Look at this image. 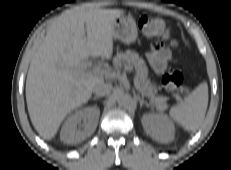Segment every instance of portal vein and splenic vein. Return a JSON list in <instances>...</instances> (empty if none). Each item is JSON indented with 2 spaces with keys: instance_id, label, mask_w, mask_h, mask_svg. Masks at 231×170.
Listing matches in <instances>:
<instances>
[{
  "instance_id": "18ae733b",
  "label": "portal vein and splenic vein",
  "mask_w": 231,
  "mask_h": 170,
  "mask_svg": "<svg viewBox=\"0 0 231 170\" xmlns=\"http://www.w3.org/2000/svg\"><path fill=\"white\" fill-rule=\"evenodd\" d=\"M91 66H92V61H86V62L84 63V65H83V68H84V69H87V68H89V67H91ZM125 69L128 70V71H133V68H132L131 66H126ZM97 71H98V72H102L100 69H97ZM134 84H135V87H136L137 89H139V90L142 92L143 95L147 96V94L144 93V92L141 90L140 85H139V82H138V79H137L136 76L134 77Z\"/></svg>"
}]
</instances>
